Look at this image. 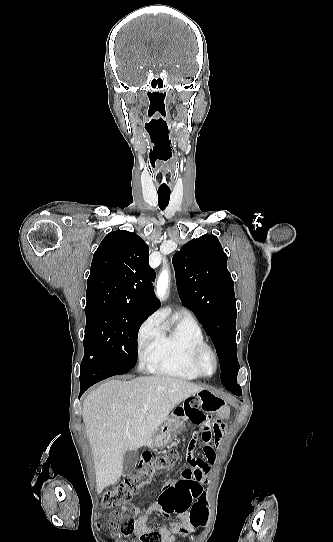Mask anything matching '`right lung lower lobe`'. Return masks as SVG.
<instances>
[{
  "mask_svg": "<svg viewBox=\"0 0 333 542\" xmlns=\"http://www.w3.org/2000/svg\"><path fill=\"white\" fill-rule=\"evenodd\" d=\"M127 373L125 370L108 364L102 360L94 362L81 363L80 367V394L81 395L95 383L104 380L108 377Z\"/></svg>",
  "mask_w": 333,
  "mask_h": 542,
  "instance_id": "98d812e1",
  "label": "right lung lower lobe"
}]
</instances>
